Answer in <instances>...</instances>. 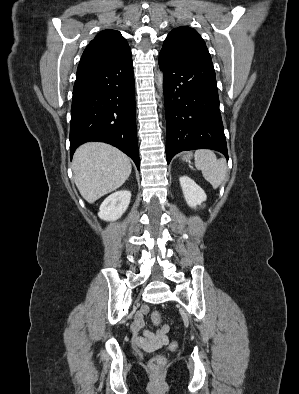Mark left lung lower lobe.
Returning a JSON list of instances; mask_svg holds the SVG:
<instances>
[{
	"label": "left lung lower lobe",
	"instance_id": "left-lung-lower-lobe-1",
	"mask_svg": "<svg viewBox=\"0 0 299 394\" xmlns=\"http://www.w3.org/2000/svg\"><path fill=\"white\" fill-rule=\"evenodd\" d=\"M164 73L166 155L185 150L213 149L228 159L212 61L177 59L160 51Z\"/></svg>",
	"mask_w": 299,
	"mask_h": 394
}]
</instances>
